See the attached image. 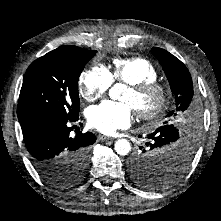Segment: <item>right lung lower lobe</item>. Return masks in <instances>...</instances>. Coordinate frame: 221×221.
Returning <instances> with one entry per match:
<instances>
[{"label":"right lung lower lobe","mask_w":221,"mask_h":221,"mask_svg":"<svg viewBox=\"0 0 221 221\" xmlns=\"http://www.w3.org/2000/svg\"><path fill=\"white\" fill-rule=\"evenodd\" d=\"M79 120L75 116H63L52 112H38L19 120L32 162L41 174L50 166L63 162L66 154L86 149L96 141L91 133H79L70 137V123Z\"/></svg>","instance_id":"obj_1"}]
</instances>
